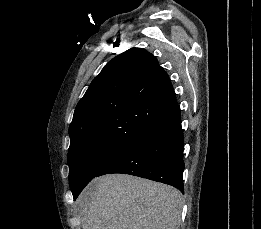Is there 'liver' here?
<instances>
[{
  "label": "liver",
  "mask_w": 261,
  "mask_h": 229,
  "mask_svg": "<svg viewBox=\"0 0 261 229\" xmlns=\"http://www.w3.org/2000/svg\"><path fill=\"white\" fill-rule=\"evenodd\" d=\"M183 197L177 189L130 175H105L84 189L83 229H178Z\"/></svg>",
  "instance_id": "obj_1"
}]
</instances>
